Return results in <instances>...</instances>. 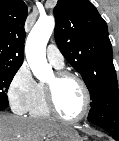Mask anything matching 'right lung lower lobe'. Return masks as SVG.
Masks as SVG:
<instances>
[{
  "label": "right lung lower lobe",
  "instance_id": "obj_1",
  "mask_svg": "<svg viewBox=\"0 0 119 141\" xmlns=\"http://www.w3.org/2000/svg\"><path fill=\"white\" fill-rule=\"evenodd\" d=\"M5 107L4 106H0V111L3 110Z\"/></svg>",
  "mask_w": 119,
  "mask_h": 141
}]
</instances>
